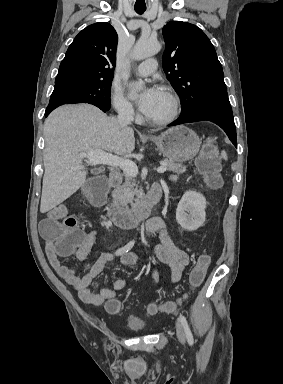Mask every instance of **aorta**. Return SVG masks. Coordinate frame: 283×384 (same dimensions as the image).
<instances>
[{
  "label": "aorta",
  "instance_id": "1",
  "mask_svg": "<svg viewBox=\"0 0 283 384\" xmlns=\"http://www.w3.org/2000/svg\"><path fill=\"white\" fill-rule=\"evenodd\" d=\"M161 49V44L156 40H150V39H140L136 43L132 53L131 57L135 60H142L148 57H151L155 54H157ZM136 87L138 89H141L143 87V83L139 82L136 84Z\"/></svg>",
  "mask_w": 283,
  "mask_h": 384
}]
</instances>
